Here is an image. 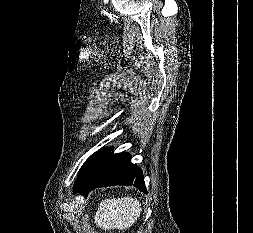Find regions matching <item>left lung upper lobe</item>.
I'll return each instance as SVG.
<instances>
[{
    "mask_svg": "<svg viewBox=\"0 0 253 233\" xmlns=\"http://www.w3.org/2000/svg\"><path fill=\"white\" fill-rule=\"evenodd\" d=\"M100 152H101V150L95 152L93 155H91L85 161V163L83 164V166L80 169V172H79V175H78V178H77V181H76L75 185L80 183L83 179L86 178V176H88V174L91 172V170H92V168H93Z\"/></svg>",
    "mask_w": 253,
    "mask_h": 233,
    "instance_id": "left-lung-upper-lobe-1",
    "label": "left lung upper lobe"
}]
</instances>
